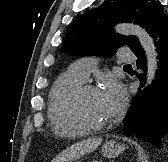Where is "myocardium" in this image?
<instances>
[{"label": "myocardium", "mask_w": 168, "mask_h": 162, "mask_svg": "<svg viewBox=\"0 0 168 162\" xmlns=\"http://www.w3.org/2000/svg\"><path fill=\"white\" fill-rule=\"evenodd\" d=\"M89 92H99L98 88L90 84H81L71 92L65 103V110L69 118L84 131H99L110 125V122L93 124L85 119L81 112V101Z\"/></svg>", "instance_id": "obj_1"}]
</instances>
